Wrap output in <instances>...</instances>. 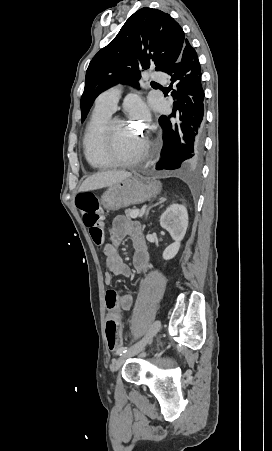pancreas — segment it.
<instances>
[{
    "instance_id": "obj_1",
    "label": "pancreas",
    "mask_w": 272,
    "mask_h": 451,
    "mask_svg": "<svg viewBox=\"0 0 272 451\" xmlns=\"http://www.w3.org/2000/svg\"><path fill=\"white\" fill-rule=\"evenodd\" d=\"M132 212H134V210H125L126 218H131Z\"/></svg>"
}]
</instances>
